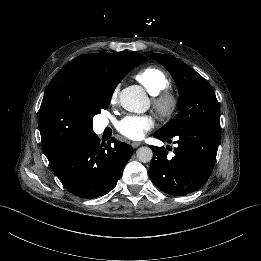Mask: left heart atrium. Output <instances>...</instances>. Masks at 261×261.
Here are the masks:
<instances>
[{"label":"left heart atrium","instance_id":"left-heart-atrium-1","mask_svg":"<svg viewBox=\"0 0 261 261\" xmlns=\"http://www.w3.org/2000/svg\"><path fill=\"white\" fill-rule=\"evenodd\" d=\"M154 120L150 116H127L120 120L117 131L125 138L138 141L154 128Z\"/></svg>","mask_w":261,"mask_h":261}]
</instances>
